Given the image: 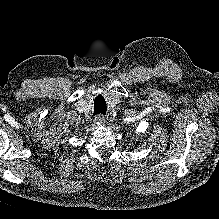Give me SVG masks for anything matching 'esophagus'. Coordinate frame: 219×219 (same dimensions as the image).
<instances>
[{
  "label": "esophagus",
  "mask_w": 219,
  "mask_h": 219,
  "mask_svg": "<svg viewBox=\"0 0 219 219\" xmlns=\"http://www.w3.org/2000/svg\"><path fill=\"white\" fill-rule=\"evenodd\" d=\"M93 122L97 125H101L105 122V118L102 115H98L94 118Z\"/></svg>",
  "instance_id": "obj_1"
}]
</instances>
